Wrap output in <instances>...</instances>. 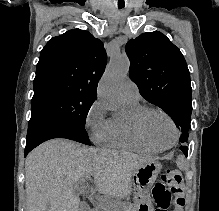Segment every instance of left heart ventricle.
Wrapping results in <instances>:
<instances>
[{
	"label": "left heart ventricle",
	"instance_id": "b2bd125f",
	"mask_svg": "<svg viewBox=\"0 0 219 211\" xmlns=\"http://www.w3.org/2000/svg\"><path fill=\"white\" fill-rule=\"evenodd\" d=\"M146 130L152 141L159 147L173 144L175 136L170 122L158 113L150 114L146 119Z\"/></svg>",
	"mask_w": 219,
	"mask_h": 211
}]
</instances>
